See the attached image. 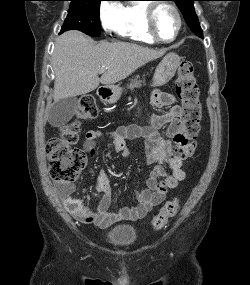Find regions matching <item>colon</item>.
Instances as JSON below:
<instances>
[{
    "label": "colon",
    "instance_id": "colon-1",
    "mask_svg": "<svg viewBox=\"0 0 250 285\" xmlns=\"http://www.w3.org/2000/svg\"><path fill=\"white\" fill-rule=\"evenodd\" d=\"M176 92L181 100L180 121L184 135L190 141L194 139L200 129L201 104L199 101V87L194 77V65L191 61H184L178 68ZM98 114L92 97H83L77 108V120L62 127L60 137L52 138L48 142L47 154L50 173L54 181L59 183L74 182L86 164L84 152L75 145L78 141L79 120H91ZM177 199L166 201L158 214L153 218L152 226L160 230L179 211Z\"/></svg>",
    "mask_w": 250,
    "mask_h": 285
}]
</instances>
